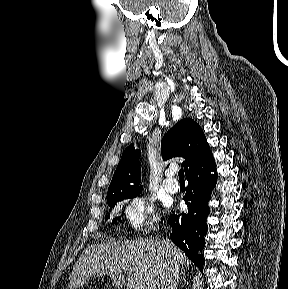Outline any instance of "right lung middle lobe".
<instances>
[{
  "label": "right lung middle lobe",
  "mask_w": 288,
  "mask_h": 289,
  "mask_svg": "<svg viewBox=\"0 0 288 289\" xmlns=\"http://www.w3.org/2000/svg\"><path fill=\"white\" fill-rule=\"evenodd\" d=\"M142 192V188L137 189H128V190H118V191H111L107 194V201L110 208L115 207L116 203L125 199H132L137 197ZM110 218V216H106L105 220ZM120 219L119 217L114 218L113 221H117Z\"/></svg>",
  "instance_id": "right-lung-middle-lobe-1"
}]
</instances>
